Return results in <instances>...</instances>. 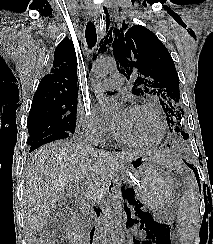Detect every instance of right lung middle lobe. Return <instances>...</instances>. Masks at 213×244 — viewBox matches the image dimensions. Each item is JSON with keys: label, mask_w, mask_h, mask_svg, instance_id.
Here are the masks:
<instances>
[{"label": "right lung middle lobe", "mask_w": 213, "mask_h": 244, "mask_svg": "<svg viewBox=\"0 0 213 244\" xmlns=\"http://www.w3.org/2000/svg\"><path fill=\"white\" fill-rule=\"evenodd\" d=\"M77 98L47 97L33 99L28 117V145L60 132L74 133Z\"/></svg>", "instance_id": "right-lung-middle-lobe-1"}]
</instances>
